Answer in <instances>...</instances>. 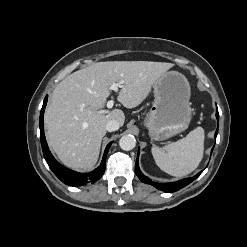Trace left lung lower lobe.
Returning a JSON list of instances; mask_svg holds the SVG:
<instances>
[{
    "label": "left lung lower lobe",
    "instance_id": "left-lung-lower-lobe-1",
    "mask_svg": "<svg viewBox=\"0 0 247 247\" xmlns=\"http://www.w3.org/2000/svg\"><path fill=\"white\" fill-rule=\"evenodd\" d=\"M216 117H217V119H219L218 110L216 112ZM217 133H218V130L215 133V138L217 136ZM138 156H139V152H138ZM135 172H136V175L138 176V178L142 182L150 184L161 191L171 193V192L177 191V190L183 188L184 186L188 185L189 183H191L194 179L197 178L198 175L201 174L202 171L198 175L194 176L193 178H187V179H183L181 181H177V182H173V183H164V184L156 183V182H152V180H150L148 177H146L145 175L142 174V172L139 169L138 157H137L136 165H135Z\"/></svg>",
    "mask_w": 247,
    "mask_h": 247
}]
</instances>
